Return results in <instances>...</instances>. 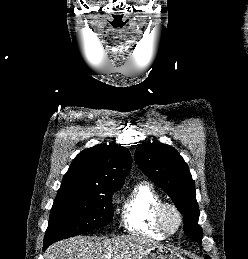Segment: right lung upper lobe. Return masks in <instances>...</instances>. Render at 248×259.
I'll return each mask as SVG.
<instances>
[{
	"mask_svg": "<svg viewBox=\"0 0 248 259\" xmlns=\"http://www.w3.org/2000/svg\"><path fill=\"white\" fill-rule=\"evenodd\" d=\"M131 168L128 149L121 145H96L80 152L63 177L62 188H121Z\"/></svg>",
	"mask_w": 248,
	"mask_h": 259,
	"instance_id": "right-lung-upper-lobe-1",
	"label": "right lung upper lobe"
}]
</instances>
